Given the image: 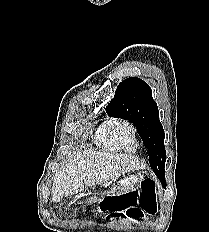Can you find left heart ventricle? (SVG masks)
<instances>
[{
    "mask_svg": "<svg viewBox=\"0 0 209 232\" xmlns=\"http://www.w3.org/2000/svg\"><path fill=\"white\" fill-rule=\"evenodd\" d=\"M118 136L126 148L133 149L135 147V143L133 141L132 134L129 129L127 128L119 129Z\"/></svg>",
    "mask_w": 209,
    "mask_h": 232,
    "instance_id": "b2bd125f",
    "label": "left heart ventricle"
}]
</instances>
